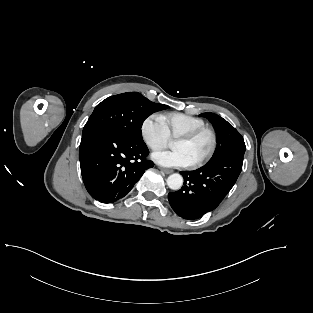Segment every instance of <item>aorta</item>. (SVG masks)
I'll return each mask as SVG.
<instances>
[{
  "label": "aorta",
  "mask_w": 313,
  "mask_h": 313,
  "mask_svg": "<svg viewBox=\"0 0 313 313\" xmlns=\"http://www.w3.org/2000/svg\"><path fill=\"white\" fill-rule=\"evenodd\" d=\"M167 185L172 190H179L183 185V177L178 173L171 174L167 178Z\"/></svg>",
  "instance_id": "obj_1"
}]
</instances>
